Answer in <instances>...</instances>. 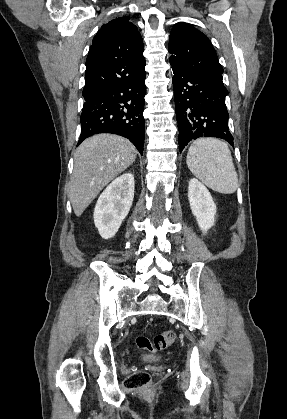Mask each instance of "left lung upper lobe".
Segmentation results:
<instances>
[{
    "label": "left lung upper lobe",
    "instance_id": "5c2ea615",
    "mask_svg": "<svg viewBox=\"0 0 287 419\" xmlns=\"http://www.w3.org/2000/svg\"><path fill=\"white\" fill-rule=\"evenodd\" d=\"M169 53L172 68L222 76L223 68L210 40L188 23L175 24L169 38Z\"/></svg>",
    "mask_w": 287,
    "mask_h": 419
}]
</instances>
